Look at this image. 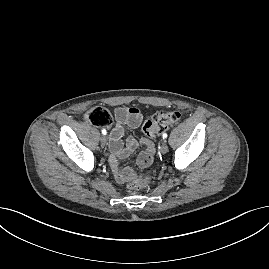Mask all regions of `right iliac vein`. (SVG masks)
I'll use <instances>...</instances> for the list:
<instances>
[{
    "mask_svg": "<svg viewBox=\"0 0 269 269\" xmlns=\"http://www.w3.org/2000/svg\"><path fill=\"white\" fill-rule=\"evenodd\" d=\"M107 140H108V138H107L106 135H103V136L100 138V141H101V144H102V145H105V144L107 143Z\"/></svg>",
    "mask_w": 269,
    "mask_h": 269,
    "instance_id": "1",
    "label": "right iliac vein"
}]
</instances>
